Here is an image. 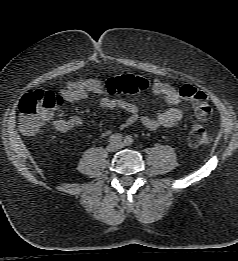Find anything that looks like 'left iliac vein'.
<instances>
[{
  "label": "left iliac vein",
  "instance_id": "obj_1",
  "mask_svg": "<svg viewBox=\"0 0 238 261\" xmlns=\"http://www.w3.org/2000/svg\"><path fill=\"white\" fill-rule=\"evenodd\" d=\"M123 146H124V144H122V143L118 144L119 148H123Z\"/></svg>",
  "mask_w": 238,
  "mask_h": 261
}]
</instances>
